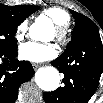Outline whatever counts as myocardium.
<instances>
[{
	"label": "myocardium",
	"mask_w": 103,
	"mask_h": 103,
	"mask_svg": "<svg viewBox=\"0 0 103 103\" xmlns=\"http://www.w3.org/2000/svg\"><path fill=\"white\" fill-rule=\"evenodd\" d=\"M55 32H56V37L58 38V40L60 42H64L66 39V34H67L66 27L57 25Z\"/></svg>",
	"instance_id": "obj_1"
}]
</instances>
